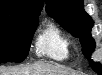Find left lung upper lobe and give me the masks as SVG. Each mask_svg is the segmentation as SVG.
I'll return each instance as SVG.
<instances>
[{
    "label": "left lung upper lobe",
    "mask_w": 102,
    "mask_h": 75,
    "mask_svg": "<svg viewBox=\"0 0 102 75\" xmlns=\"http://www.w3.org/2000/svg\"><path fill=\"white\" fill-rule=\"evenodd\" d=\"M46 11L64 29L74 37L80 39L82 51L89 59L94 71L101 74V66L90 59V55L95 48V41L91 37L93 20L83 9V0H45Z\"/></svg>",
    "instance_id": "1"
}]
</instances>
